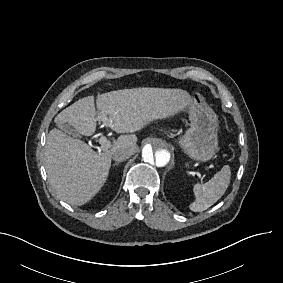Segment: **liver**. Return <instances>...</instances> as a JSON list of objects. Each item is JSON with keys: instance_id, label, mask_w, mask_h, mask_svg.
I'll return each instance as SVG.
<instances>
[{"instance_id": "6515ba94", "label": "liver", "mask_w": 283, "mask_h": 283, "mask_svg": "<svg viewBox=\"0 0 283 283\" xmlns=\"http://www.w3.org/2000/svg\"><path fill=\"white\" fill-rule=\"evenodd\" d=\"M192 104L186 90L165 88H133L111 91L97 96L99 116L108 115L117 133H133L153 120L164 119ZM94 97L79 99L54 119L69 123L78 133L91 136L96 130ZM135 134L121 135L113 142L138 150ZM112 149L96 153L85 142L54 128L47 135L45 168L50 185L58 197L73 205L90 201L106 182L111 166Z\"/></svg>"}]
</instances>
